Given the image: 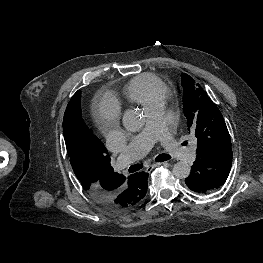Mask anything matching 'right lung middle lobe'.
<instances>
[{
    "mask_svg": "<svg viewBox=\"0 0 263 263\" xmlns=\"http://www.w3.org/2000/svg\"><path fill=\"white\" fill-rule=\"evenodd\" d=\"M80 99L81 92L77 91L74 100L67 106L63 124L79 134H86L88 133V127L85 125L81 117ZM80 167L81 173L87 177V187L85 189L88 190L94 182V164L91 160L84 157Z\"/></svg>",
    "mask_w": 263,
    "mask_h": 263,
    "instance_id": "1",
    "label": "right lung middle lobe"
}]
</instances>
